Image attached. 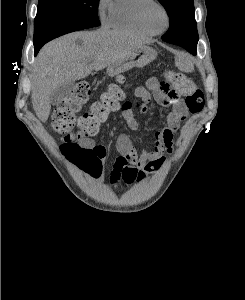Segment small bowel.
<instances>
[{
  "instance_id": "small-bowel-1",
  "label": "small bowel",
  "mask_w": 245,
  "mask_h": 300,
  "mask_svg": "<svg viewBox=\"0 0 245 300\" xmlns=\"http://www.w3.org/2000/svg\"><path fill=\"white\" fill-rule=\"evenodd\" d=\"M154 99L161 105L170 106L171 111L167 115L166 125L158 130L153 141V149H136L130 137L124 133L118 135L116 140L117 157L114 160L110 173V182L116 187L121 182L131 184L141 180L146 174L158 170L165 162V152H172V144L180 124L188 116V108L178 93L168 85L159 82L155 78L146 81V86H138L134 90L135 96L141 101L138 103L125 102L121 107V115L130 130L139 129V122L134 112L144 113L146 104L150 102L152 94ZM82 145L95 150L97 158L102 164L106 152L102 145L89 139Z\"/></svg>"
}]
</instances>
